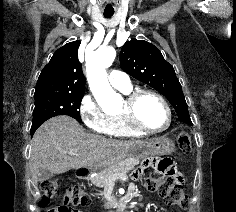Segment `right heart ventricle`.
<instances>
[{"label": "right heart ventricle", "instance_id": "right-heart-ventricle-1", "mask_svg": "<svg viewBox=\"0 0 236 212\" xmlns=\"http://www.w3.org/2000/svg\"><path fill=\"white\" fill-rule=\"evenodd\" d=\"M120 90L123 93L127 94L132 90V87L129 86L125 89H120ZM105 134L120 138H132L143 135L130 128L124 121V119L120 116V114L108 116V122Z\"/></svg>", "mask_w": 236, "mask_h": 212}]
</instances>
